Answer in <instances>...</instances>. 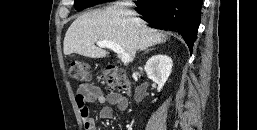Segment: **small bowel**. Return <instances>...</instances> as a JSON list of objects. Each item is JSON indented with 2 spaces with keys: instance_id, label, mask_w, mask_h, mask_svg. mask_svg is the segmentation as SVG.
<instances>
[{
  "instance_id": "obj_1",
  "label": "small bowel",
  "mask_w": 257,
  "mask_h": 130,
  "mask_svg": "<svg viewBox=\"0 0 257 130\" xmlns=\"http://www.w3.org/2000/svg\"><path fill=\"white\" fill-rule=\"evenodd\" d=\"M98 102L100 104L109 103L116 106L120 111H125L128 102L125 97L119 93L104 94L100 87L93 84L81 85L76 93V103L79 109L81 119L85 130H97L94 118L90 115L88 103ZM113 117V110L110 106H103L99 111L100 119H111Z\"/></svg>"
}]
</instances>
